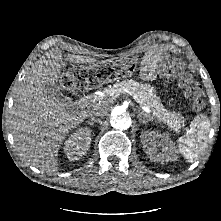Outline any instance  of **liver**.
Masks as SVG:
<instances>
[{
  "label": "liver",
  "mask_w": 221,
  "mask_h": 221,
  "mask_svg": "<svg viewBox=\"0 0 221 221\" xmlns=\"http://www.w3.org/2000/svg\"><path fill=\"white\" fill-rule=\"evenodd\" d=\"M66 60L82 64L97 61L71 54ZM63 67L60 51L52 50L40 57L17 89L9 120L19 155L30 165L49 173L58 170V150L66 136L91 111L76 110L48 94L47 86L57 85ZM96 106L102 107L105 113L108 109L105 104Z\"/></svg>",
  "instance_id": "6515ba94"
}]
</instances>
